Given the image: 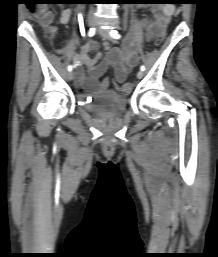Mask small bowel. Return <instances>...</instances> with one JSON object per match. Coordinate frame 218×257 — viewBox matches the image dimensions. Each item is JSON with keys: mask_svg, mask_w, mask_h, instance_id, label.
I'll use <instances>...</instances> for the list:
<instances>
[{"mask_svg": "<svg viewBox=\"0 0 218 257\" xmlns=\"http://www.w3.org/2000/svg\"><path fill=\"white\" fill-rule=\"evenodd\" d=\"M174 12L172 5H165L153 8L154 19H143L132 31L122 48H109L106 46L107 57L100 61L101 54L98 52L99 44L95 40L87 41L80 51L72 55L74 67L76 68L77 87L81 94L86 92L85 85L94 94L104 93L106 90H99L100 78L112 67L115 79L123 83L132 68L137 64V40L136 33L144 31L147 40L157 38V30L167 26ZM72 11L69 8L63 9L60 16V23H68ZM87 67V72L82 68ZM120 94V89L117 90Z\"/></svg>", "mask_w": 218, "mask_h": 257, "instance_id": "1", "label": "small bowel"}]
</instances>
